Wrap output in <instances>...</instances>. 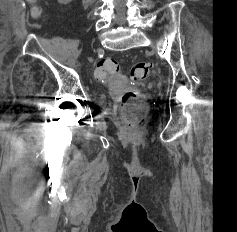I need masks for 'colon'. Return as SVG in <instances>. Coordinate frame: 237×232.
<instances>
[{
	"label": "colon",
	"instance_id": "obj_1",
	"mask_svg": "<svg viewBox=\"0 0 237 232\" xmlns=\"http://www.w3.org/2000/svg\"><path fill=\"white\" fill-rule=\"evenodd\" d=\"M35 3L37 0H28ZM40 10L33 7V15L39 16ZM150 64L140 61L135 63L130 71L131 78L134 81L144 80L148 77ZM120 72L119 64L111 58H104L98 61L96 66V75L104 78L110 75H117ZM147 112L145 98L142 92L134 90L127 92L122 98L121 116L123 124L126 128L135 130L138 129L144 122Z\"/></svg>",
	"mask_w": 237,
	"mask_h": 232
}]
</instances>
